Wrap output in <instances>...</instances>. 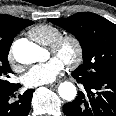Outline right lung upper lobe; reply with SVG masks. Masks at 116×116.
I'll list each match as a JSON object with an SVG mask.
<instances>
[{
    "label": "right lung upper lobe",
    "mask_w": 116,
    "mask_h": 116,
    "mask_svg": "<svg viewBox=\"0 0 116 116\" xmlns=\"http://www.w3.org/2000/svg\"><path fill=\"white\" fill-rule=\"evenodd\" d=\"M27 22V19L0 14V38H14L18 32L25 28Z\"/></svg>",
    "instance_id": "obj_1"
}]
</instances>
